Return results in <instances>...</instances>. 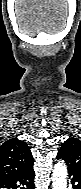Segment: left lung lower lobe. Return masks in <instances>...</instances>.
I'll list each match as a JSON object with an SVG mask.
<instances>
[{"label": "left lung lower lobe", "mask_w": 81, "mask_h": 189, "mask_svg": "<svg viewBox=\"0 0 81 189\" xmlns=\"http://www.w3.org/2000/svg\"><path fill=\"white\" fill-rule=\"evenodd\" d=\"M57 159H62V158L57 155ZM69 177L71 184L73 185L72 188L81 189V176L74 172L69 171Z\"/></svg>", "instance_id": "obj_1"}]
</instances>
